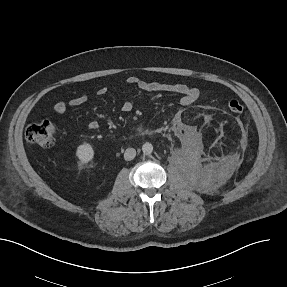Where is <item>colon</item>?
I'll list each match as a JSON object with an SVG mask.
<instances>
[{"mask_svg":"<svg viewBox=\"0 0 287 287\" xmlns=\"http://www.w3.org/2000/svg\"><path fill=\"white\" fill-rule=\"evenodd\" d=\"M228 108L234 113H241L243 105L237 99H231L228 102ZM26 140L41 148H49L54 144L56 135V126L48 120L31 124L26 129Z\"/></svg>","mask_w":287,"mask_h":287,"instance_id":"colon-1","label":"colon"}]
</instances>
